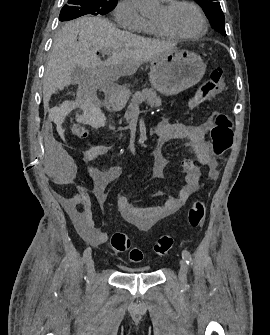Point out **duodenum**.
<instances>
[{"label":"duodenum","mask_w":270,"mask_h":335,"mask_svg":"<svg viewBox=\"0 0 270 335\" xmlns=\"http://www.w3.org/2000/svg\"><path fill=\"white\" fill-rule=\"evenodd\" d=\"M104 92L106 94V107L110 111H119L125 103V95L121 87L113 80H107L104 83Z\"/></svg>","instance_id":"1"}]
</instances>
